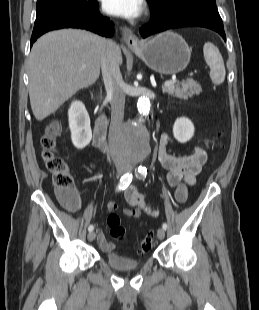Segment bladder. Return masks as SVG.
<instances>
[{
    "instance_id": "31cf9c89",
    "label": "bladder",
    "mask_w": 259,
    "mask_h": 310,
    "mask_svg": "<svg viewBox=\"0 0 259 310\" xmlns=\"http://www.w3.org/2000/svg\"><path fill=\"white\" fill-rule=\"evenodd\" d=\"M105 259L108 265L119 270L135 269L141 266V261L116 252H108Z\"/></svg>"
}]
</instances>
